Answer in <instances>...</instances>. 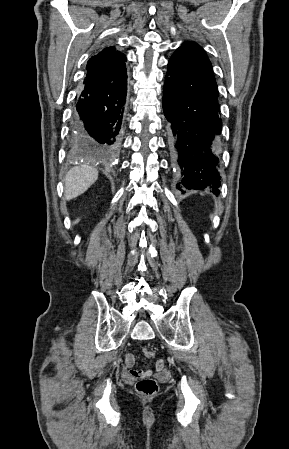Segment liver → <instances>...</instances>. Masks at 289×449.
I'll return each instance as SVG.
<instances>
[{
	"label": "liver",
	"mask_w": 289,
	"mask_h": 449,
	"mask_svg": "<svg viewBox=\"0 0 289 449\" xmlns=\"http://www.w3.org/2000/svg\"><path fill=\"white\" fill-rule=\"evenodd\" d=\"M98 179V171L87 165L71 168L65 176V199L71 200L83 194Z\"/></svg>",
	"instance_id": "1"
}]
</instances>
